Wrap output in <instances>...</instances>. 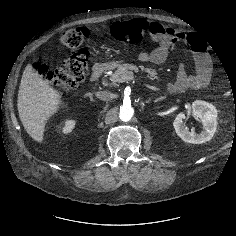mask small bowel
Segmentation results:
<instances>
[{
    "instance_id": "1",
    "label": "small bowel",
    "mask_w": 236,
    "mask_h": 236,
    "mask_svg": "<svg viewBox=\"0 0 236 236\" xmlns=\"http://www.w3.org/2000/svg\"><path fill=\"white\" fill-rule=\"evenodd\" d=\"M148 31L156 46L149 52L140 53L139 59L142 62L161 64L166 60L169 50L178 45H190L193 50L196 64L195 73L188 74L185 68L181 67L177 80L169 85L170 91H184L189 88L199 89L208 85L212 65L210 57L205 52V43L201 37L187 34L175 27H164L157 22L150 23Z\"/></svg>"
}]
</instances>
